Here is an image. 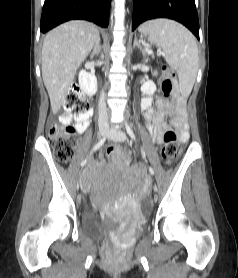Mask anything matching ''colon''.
<instances>
[{
    "instance_id": "1",
    "label": "colon",
    "mask_w": 238,
    "mask_h": 278,
    "mask_svg": "<svg viewBox=\"0 0 238 278\" xmlns=\"http://www.w3.org/2000/svg\"><path fill=\"white\" fill-rule=\"evenodd\" d=\"M164 79L161 83V89L166 98H170L175 86L174 73L167 67H163ZM90 105L79 86L70 89L67 98L63 104L66 113H77L79 115L89 111ZM47 138L53 147L56 160L62 163L68 162L77 142L78 133L74 126L59 127L53 125L47 133ZM164 146L161 151L162 160L165 163L175 161L182 152V147L176 134L168 129L164 136ZM108 157L116 164H123L128 158L123 155L117 147H112L108 151Z\"/></svg>"
}]
</instances>
